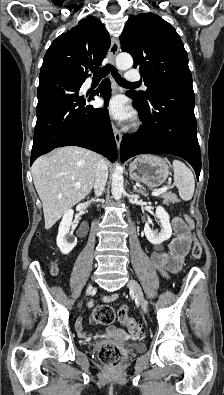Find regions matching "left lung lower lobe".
Here are the masks:
<instances>
[{"mask_svg":"<svg viewBox=\"0 0 224 395\" xmlns=\"http://www.w3.org/2000/svg\"><path fill=\"white\" fill-rule=\"evenodd\" d=\"M134 107L143 127L138 138L124 137L120 147L121 161L138 154L170 153L188 161L199 178L201 153L197 139L193 92L162 94L150 102L139 100L133 93Z\"/></svg>","mask_w":224,"mask_h":395,"instance_id":"obj_1","label":"left lung lower lobe"}]
</instances>
